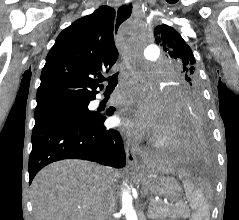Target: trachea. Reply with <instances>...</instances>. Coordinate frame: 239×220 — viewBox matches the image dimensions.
Instances as JSON below:
<instances>
[{
    "mask_svg": "<svg viewBox=\"0 0 239 220\" xmlns=\"http://www.w3.org/2000/svg\"><path fill=\"white\" fill-rule=\"evenodd\" d=\"M105 79H100V82H103ZM108 82V85L106 87V90H114L117 83H118V73L114 74L113 76L106 79Z\"/></svg>",
    "mask_w": 239,
    "mask_h": 220,
    "instance_id": "1",
    "label": "trachea"
}]
</instances>
